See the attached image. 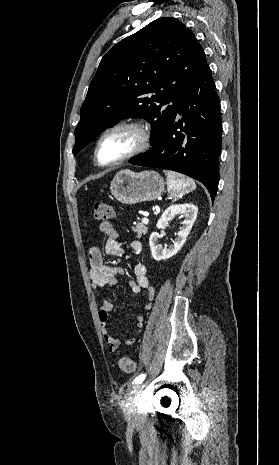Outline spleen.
Listing matches in <instances>:
<instances>
[{"instance_id": "3e777b00", "label": "spleen", "mask_w": 279, "mask_h": 465, "mask_svg": "<svg viewBox=\"0 0 279 465\" xmlns=\"http://www.w3.org/2000/svg\"><path fill=\"white\" fill-rule=\"evenodd\" d=\"M165 175L167 177V189L174 198L173 201L196 189L195 182L188 177L172 171H165Z\"/></svg>"}]
</instances>
